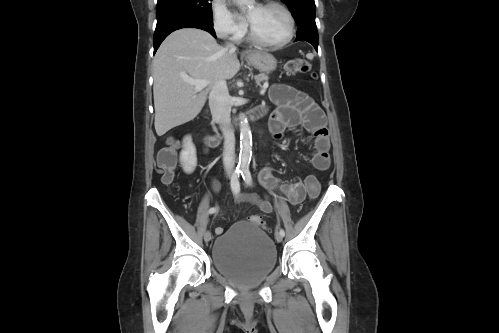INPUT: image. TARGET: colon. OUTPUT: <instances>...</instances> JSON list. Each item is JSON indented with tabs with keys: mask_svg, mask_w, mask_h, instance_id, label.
I'll list each match as a JSON object with an SVG mask.
<instances>
[{
	"mask_svg": "<svg viewBox=\"0 0 499 333\" xmlns=\"http://www.w3.org/2000/svg\"><path fill=\"white\" fill-rule=\"evenodd\" d=\"M287 69L291 73H307L311 70L310 63L305 59H295L287 64ZM158 166L162 174L164 184L170 185L174 182L176 171V142L171 141L169 146L162 149L158 156ZM304 189L309 199L313 200L320 193V183L316 176L308 175L305 177ZM248 220L258 226H263V221L259 216L251 215Z\"/></svg>",
	"mask_w": 499,
	"mask_h": 333,
	"instance_id": "colon-1",
	"label": "colon"
}]
</instances>
